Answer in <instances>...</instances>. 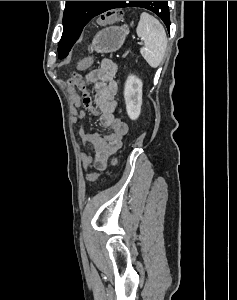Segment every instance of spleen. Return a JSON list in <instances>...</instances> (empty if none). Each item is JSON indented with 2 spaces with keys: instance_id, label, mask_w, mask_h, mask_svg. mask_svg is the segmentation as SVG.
Masks as SVG:
<instances>
[{
  "instance_id": "1",
  "label": "spleen",
  "mask_w": 237,
  "mask_h": 300,
  "mask_svg": "<svg viewBox=\"0 0 237 300\" xmlns=\"http://www.w3.org/2000/svg\"><path fill=\"white\" fill-rule=\"evenodd\" d=\"M136 33L144 41V47L140 49L143 59L150 67L156 69L162 63L167 49V37L163 25L149 13H141Z\"/></svg>"
}]
</instances>
